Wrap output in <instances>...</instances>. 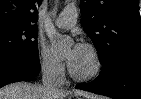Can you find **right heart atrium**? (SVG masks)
<instances>
[{
  "label": "right heart atrium",
  "instance_id": "d8ad5b80",
  "mask_svg": "<svg viewBox=\"0 0 141 99\" xmlns=\"http://www.w3.org/2000/svg\"><path fill=\"white\" fill-rule=\"evenodd\" d=\"M37 58L40 69L45 76L52 80H60L64 76L63 62L54 56L46 45L40 44L38 46Z\"/></svg>",
  "mask_w": 141,
  "mask_h": 99
}]
</instances>
